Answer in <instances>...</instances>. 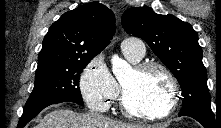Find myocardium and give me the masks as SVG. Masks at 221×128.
<instances>
[{
	"label": "myocardium",
	"instance_id": "obj_1",
	"mask_svg": "<svg viewBox=\"0 0 221 128\" xmlns=\"http://www.w3.org/2000/svg\"><path fill=\"white\" fill-rule=\"evenodd\" d=\"M159 70L164 78L166 79L168 86H169V97L167 106L158 112H151V113H139L132 110L129 105L127 104L126 100V91L123 85H121V94L119 99V104L122 112L125 116L136 119V120H160L170 116L177 106V99H178V85L175 76L173 75L172 71L162 63L159 62H143L134 67V70L138 73H143L148 70Z\"/></svg>",
	"mask_w": 221,
	"mask_h": 128
}]
</instances>
